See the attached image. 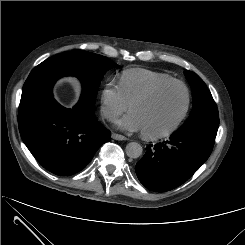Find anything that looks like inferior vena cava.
<instances>
[{"label":"inferior vena cava","instance_id":"602c4592","mask_svg":"<svg viewBox=\"0 0 245 245\" xmlns=\"http://www.w3.org/2000/svg\"><path fill=\"white\" fill-rule=\"evenodd\" d=\"M115 116H116L115 114H108V115H107V117H108L109 119H113V118H115Z\"/></svg>","mask_w":245,"mask_h":245}]
</instances>
